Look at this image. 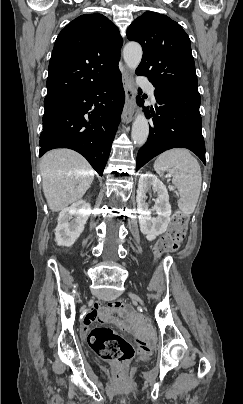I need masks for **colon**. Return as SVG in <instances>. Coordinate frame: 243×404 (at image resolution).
<instances>
[{
    "label": "colon",
    "mask_w": 243,
    "mask_h": 404,
    "mask_svg": "<svg viewBox=\"0 0 243 404\" xmlns=\"http://www.w3.org/2000/svg\"><path fill=\"white\" fill-rule=\"evenodd\" d=\"M187 221V215L181 211L173 215L168 231L155 244L154 254L156 258L175 252L179 248L186 233ZM109 306L119 313L133 314L132 308L121 300H112L109 302ZM89 342L101 358L121 365L130 361L135 354L132 344L109 327L94 328L89 334ZM152 345L151 340L140 339L138 340L137 352L142 355L149 354Z\"/></svg>",
    "instance_id": "obj_1"
}]
</instances>
